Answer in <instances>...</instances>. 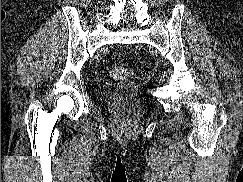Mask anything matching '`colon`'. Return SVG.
Listing matches in <instances>:
<instances>
[{"label":"colon","instance_id":"1","mask_svg":"<svg viewBox=\"0 0 243 182\" xmlns=\"http://www.w3.org/2000/svg\"><path fill=\"white\" fill-rule=\"evenodd\" d=\"M109 74L117 80H128L134 75V71L124 66H113L109 69Z\"/></svg>","mask_w":243,"mask_h":182}]
</instances>
